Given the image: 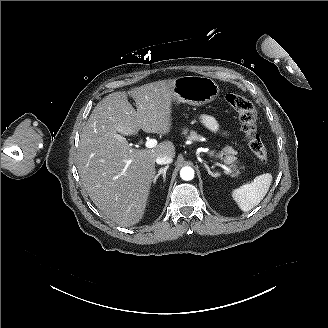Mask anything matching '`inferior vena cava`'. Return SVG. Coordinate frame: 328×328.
I'll return each instance as SVG.
<instances>
[{
  "mask_svg": "<svg viewBox=\"0 0 328 328\" xmlns=\"http://www.w3.org/2000/svg\"><path fill=\"white\" fill-rule=\"evenodd\" d=\"M173 162V159L171 156H167V155H162L156 158V163L163 165V164H170Z\"/></svg>",
  "mask_w": 328,
  "mask_h": 328,
  "instance_id": "1",
  "label": "inferior vena cava"
}]
</instances>
